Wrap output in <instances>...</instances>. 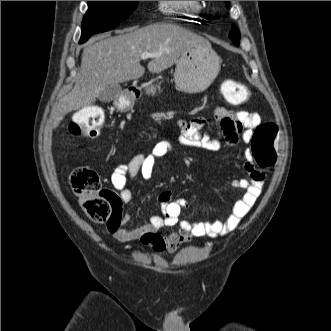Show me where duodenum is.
Masks as SVG:
<instances>
[{
    "label": "duodenum",
    "instance_id": "obj_1",
    "mask_svg": "<svg viewBox=\"0 0 331 331\" xmlns=\"http://www.w3.org/2000/svg\"><path fill=\"white\" fill-rule=\"evenodd\" d=\"M129 95L138 98L141 95V90L137 87L130 88Z\"/></svg>",
    "mask_w": 331,
    "mask_h": 331
}]
</instances>
